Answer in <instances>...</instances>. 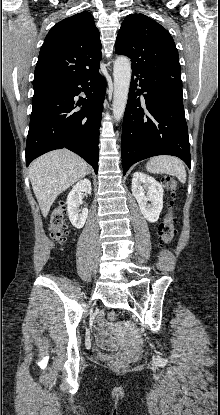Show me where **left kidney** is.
<instances>
[{"label": "left kidney", "instance_id": "obj_1", "mask_svg": "<svg viewBox=\"0 0 220 415\" xmlns=\"http://www.w3.org/2000/svg\"><path fill=\"white\" fill-rule=\"evenodd\" d=\"M148 190L145 195V190ZM132 194L136 198L144 218L154 223L163 208V188L153 177L135 172L132 178ZM148 202H151L150 204Z\"/></svg>", "mask_w": 220, "mask_h": 415}]
</instances>
